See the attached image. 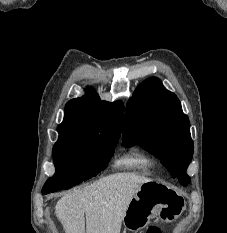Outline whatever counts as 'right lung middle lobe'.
Returning <instances> with one entry per match:
<instances>
[{
    "label": "right lung middle lobe",
    "instance_id": "obj_1",
    "mask_svg": "<svg viewBox=\"0 0 227 233\" xmlns=\"http://www.w3.org/2000/svg\"><path fill=\"white\" fill-rule=\"evenodd\" d=\"M119 136L85 139L59 136L53 147L56 172L42 188V193L68 189L86 181L107 167Z\"/></svg>",
    "mask_w": 227,
    "mask_h": 233
}]
</instances>
